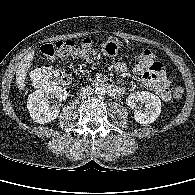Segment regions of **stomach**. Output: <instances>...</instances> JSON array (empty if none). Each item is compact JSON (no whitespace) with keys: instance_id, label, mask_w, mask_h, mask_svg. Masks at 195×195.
Here are the masks:
<instances>
[{"instance_id":"0dacf381","label":"stomach","mask_w":195,"mask_h":195,"mask_svg":"<svg viewBox=\"0 0 195 195\" xmlns=\"http://www.w3.org/2000/svg\"><path fill=\"white\" fill-rule=\"evenodd\" d=\"M101 51L103 55L108 57H116L118 55L120 45L117 41L114 39H108L106 42H104L101 46Z\"/></svg>"}]
</instances>
